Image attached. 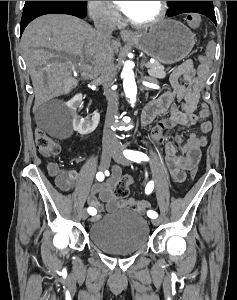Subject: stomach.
<instances>
[{"label": "stomach", "instance_id": "0dacf381", "mask_svg": "<svg viewBox=\"0 0 237 300\" xmlns=\"http://www.w3.org/2000/svg\"><path fill=\"white\" fill-rule=\"evenodd\" d=\"M134 35L135 39L131 41V45L165 65L185 59L196 43L192 31L173 19L154 23L148 29L137 31Z\"/></svg>", "mask_w": 237, "mask_h": 300}]
</instances>
